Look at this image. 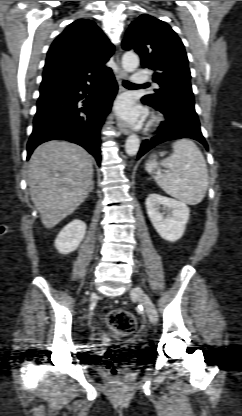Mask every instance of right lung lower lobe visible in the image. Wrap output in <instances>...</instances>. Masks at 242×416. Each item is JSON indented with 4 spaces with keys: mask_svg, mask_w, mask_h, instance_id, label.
<instances>
[{
    "mask_svg": "<svg viewBox=\"0 0 242 416\" xmlns=\"http://www.w3.org/2000/svg\"><path fill=\"white\" fill-rule=\"evenodd\" d=\"M117 90L110 71L86 83L40 93L27 159L39 144L65 139L84 147L100 165V130Z\"/></svg>",
    "mask_w": 242,
    "mask_h": 416,
    "instance_id": "1",
    "label": "right lung lower lobe"
}]
</instances>
